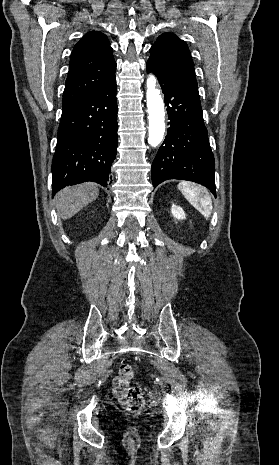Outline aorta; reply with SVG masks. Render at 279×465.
I'll return each instance as SVG.
<instances>
[{"mask_svg":"<svg viewBox=\"0 0 279 465\" xmlns=\"http://www.w3.org/2000/svg\"><path fill=\"white\" fill-rule=\"evenodd\" d=\"M147 109L149 119L148 143L152 147L158 146L165 133V112L164 102L161 98L160 91L156 88V80L153 75L147 79Z\"/></svg>","mask_w":279,"mask_h":465,"instance_id":"762f6f07","label":"aorta"}]
</instances>
